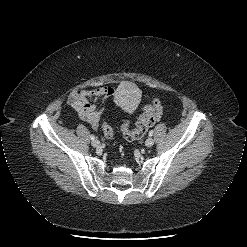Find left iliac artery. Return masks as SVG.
I'll return each mask as SVG.
<instances>
[{
    "mask_svg": "<svg viewBox=\"0 0 247 247\" xmlns=\"http://www.w3.org/2000/svg\"><path fill=\"white\" fill-rule=\"evenodd\" d=\"M153 133H154V131L151 130V131L149 132V136H153Z\"/></svg>",
    "mask_w": 247,
    "mask_h": 247,
    "instance_id": "1",
    "label": "left iliac artery"
}]
</instances>
